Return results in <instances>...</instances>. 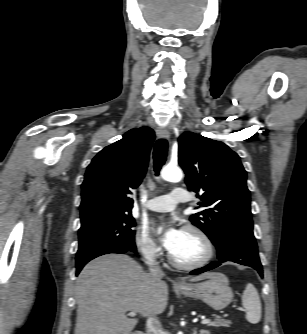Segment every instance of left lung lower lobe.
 <instances>
[{"instance_id": "obj_1", "label": "left lung lower lobe", "mask_w": 307, "mask_h": 334, "mask_svg": "<svg viewBox=\"0 0 307 334\" xmlns=\"http://www.w3.org/2000/svg\"><path fill=\"white\" fill-rule=\"evenodd\" d=\"M218 262L194 270L190 274L197 275L221 265V262L233 261L238 264L254 267L260 276H263L262 265L257 252V244L253 231L249 230H229L224 239L217 247Z\"/></svg>"}]
</instances>
